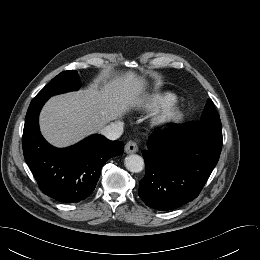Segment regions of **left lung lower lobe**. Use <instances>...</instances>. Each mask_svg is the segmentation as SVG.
<instances>
[{"instance_id": "1", "label": "left lung lower lobe", "mask_w": 260, "mask_h": 260, "mask_svg": "<svg viewBox=\"0 0 260 260\" xmlns=\"http://www.w3.org/2000/svg\"><path fill=\"white\" fill-rule=\"evenodd\" d=\"M147 147L138 194L147 206L166 211L198 196L219 160L222 134L174 124Z\"/></svg>"}]
</instances>
